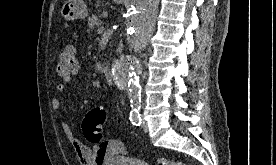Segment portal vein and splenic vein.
Wrapping results in <instances>:
<instances>
[{
	"label": "portal vein and splenic vein",
	"instance_id": "1",
	"mask_svg": "<svg viewBox=\"0 0 276 165\" xmlns=\"http://www.w3.org/2000/svg\"><path fill=\"white\" fill-rule=\"evenodd\" d=\"M103 33H105V28L104 27H100L98 29V34H103Z\"/></svg>",
	"mask_w": 276,
	"mask_h": 165
}]
</instances>
